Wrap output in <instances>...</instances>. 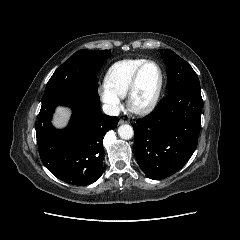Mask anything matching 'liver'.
Here are the masks:
<instances>
[{"instance_id": "liver-1", "label": "liver", "mask_w": 240, "mask_h": 240, "mask_svg": "<svg viewBox=\"0 0 240 240\" xmlns=\"http://www.w3.org/2000/svg\"><path fill=\"white\" fill-rule=\"evenodd\" d=\"M69 118L70 111L64 107H58L52 123L56 128L62 129L67 125Z\"/></svg>"}]
</instances>
